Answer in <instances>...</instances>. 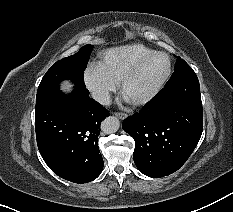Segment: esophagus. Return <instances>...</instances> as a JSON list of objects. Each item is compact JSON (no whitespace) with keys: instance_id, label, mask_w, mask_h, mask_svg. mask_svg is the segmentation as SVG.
Segmentation results:
<instances>
[{"instance_id":"esophagus-1","label":"esophagus","mask_w":233,"mask_h":212,"mask_svg":"<svg viewBox=\"0 0 233 212\" xmlns=\"http://www.w3.org/2000/svg\"><path fill=\"white\" fill-rule=\"evenodd\" d=\"M115 115L121 119V120H124L125 118H127V114L126 113H122V112H117L115 113Z\"/></svg>"}]
</instances>
